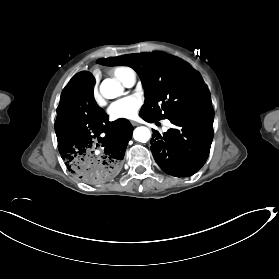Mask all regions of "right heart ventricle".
<instances>
[{"instance_id": "obj_1", "label": "right heart ventricle", "mask_w": 279, "mask_h": 279, "mask_svg": "<svg viewBox=\"0 0 279 279\" xmlns=\"http://www.w3.org/2000/svg\"><path fill=\"white\" fill-rule=\"evenodd\" d=\"M109 73L122 85L126 86L129 75L134 74L133 70L128 67H115L109 70ZM135 75V74H134Z\"/></svg>"}]
</instances>
